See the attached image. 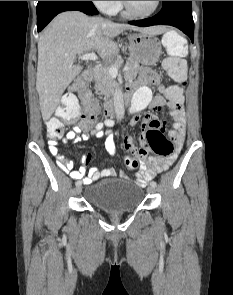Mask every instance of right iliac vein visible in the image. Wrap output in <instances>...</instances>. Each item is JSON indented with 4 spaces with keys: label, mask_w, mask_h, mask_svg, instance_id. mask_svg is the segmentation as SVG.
<instances>
[{
    "label": "right iliac vein",
    "mask_w": 233,
    "mask_h": 295,
    "mask_svg": "<svg viewBox=\"0 0 233 295\" xmlns=\"http://www.w3.org/2000/svg\"><path fill=\"white\" fill-rule=\"evenodd\" d=\"M76 193L77 194H80L81 193V191H82V181L81 180H78L77 182H76Z\"/></svg>",
    "instance_id": "1"
}]
</instances>
